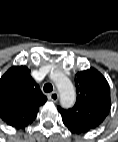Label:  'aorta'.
I'll use <instances>...</instances> for the list:
<instances>
[{"label": "aorta", "instance_id": "aorta-1", "mask_svg": "<svg viewBox=\"0 0 118 142\" xmlns=\"http://www.w3.org/2000/svg\"><path fill=\"white\" fill-rule=\"evenodd\" d=\"M59 93L60 103L63 107H72L76 100V92L70 79L62 72L55 71L51 75Z\"/></svg>", "mask_w": 118, "mask_h": 142}]
</instances>
